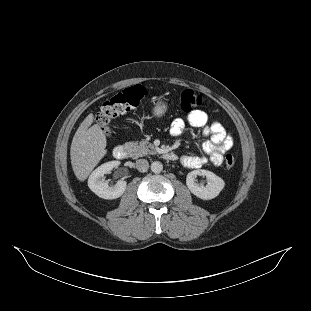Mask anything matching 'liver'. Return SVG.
<instances>
[{
	"instance_id": "liver-1",
	"label": "liver",
	"mask_w": 311,
	"mask_h": 311,
	"mask_svg": "<svg viewBox=\"0 0 311 311\" xmlns=\"http://www.w3.org/2000/svg\"><path fill=\"white\" fill-rule=\"evenodd\" d=\"M93 120L94 115L90 113L78 127L71 143V164L80 181L87 179L107 153L105 133L99 125H92Z\"/></svg>"
}]
</instances>
